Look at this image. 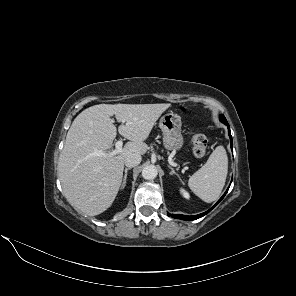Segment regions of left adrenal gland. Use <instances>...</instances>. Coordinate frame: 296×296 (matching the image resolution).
I'll return each instance as SVG.
<instances>
[{"label": "left adrenal gland", "mask_w": 296, "mask_h": 296, "mask_svg": "<svg viewBox=\"0 0 296 296\" xmlns=\"http://www.w3.org/2000/svg\"><path fill=\"white\" fill-rule=\"evenodd\" d=\"M168 167L171 169L170 175H176L178 179L181 180L180 176L175 172V170L171 166Z\"/></svg>", "instance_id": "obj_1"}]
</instances>
